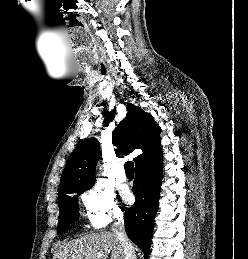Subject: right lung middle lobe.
Here are the masks:
<instances>
[{"instance_id":"1","label":"right lung middle lobe","mask_w":248,"mask_h":259,"mask_svg":"<svg viewBox=\"0 0 248 259\" xmlns=\"http://www.w3.org/2000/svg\"><path fill=\"white\" fill-rule=\"evenodd\" d=\"M91 186L78 188L70 191L64 196L58 198L59 201V222H58V232L61 234L66 229L67 224L76 222L79 217L78 209V196H70V194L78 193L82 194L85 190L89 189Z\"/></svg>"}]
</instances>
